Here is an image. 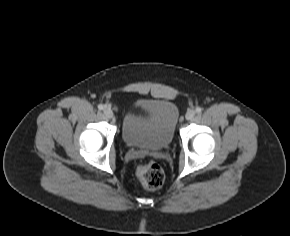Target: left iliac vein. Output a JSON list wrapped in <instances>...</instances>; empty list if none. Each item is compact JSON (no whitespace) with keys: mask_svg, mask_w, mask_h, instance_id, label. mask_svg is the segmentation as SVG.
<instances>
[{"mask_svg":"<svg viewBox=\"0 0 290 236\" xmlns=\"http://www.w3.org/2000/svg\"><path fill=\"white\" fill-rule=\"evenodd\" d=\"M196 112L194 110H189L187 113H186V119L187 120H192L195 116Z\"/></svg>","mask_w":290,"mask_h":236,"instance_id":"4c4485c4","label":"left iliac vein"}]
</instances>
